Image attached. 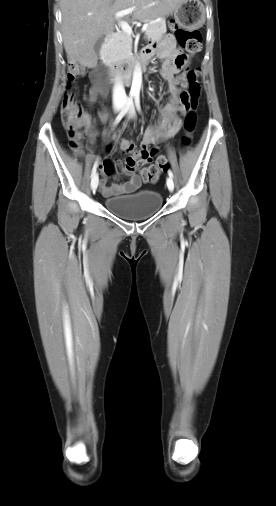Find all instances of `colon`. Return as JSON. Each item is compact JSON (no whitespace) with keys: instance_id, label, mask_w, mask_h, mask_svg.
I'll use <instances>...</instances> for the list:
<instances>
[{"instance_id":"1","label":"colon","mask_w":276,"mask_h":506,"mask_svg":"<svg viewBox=\"0 0 276 506\" xmlns=\"http://www.w3.org/2000/svg\"><path fill=\"white\" fill-rule=\"evenodd\" d=\"M169 28L176 34L180 46L186 51L187 55H193L201 49L202 36L199 31H186L179 27L176 20L169 22ZM188 56L184 55L179 63L185 67V71L176 79V84L183 90L178 97L173 99L175 105H180L186 112L184 123L185 135L182 137V145L188 146L191 142V134L194 132L197 123L196 108L201 94L198 81V71H189L187 67ZM82 74V69L75 63H70L68 68V78L73 83L78 76ZM98 77L103 79V72H98ZM85 114L79 104V101L72 88L65 94L61 106V118L63 126L69 138V148L73 154H78L83 143L84 134L82 128L86 126ZM175 121V117H171ZM121 148L128 154L125 161L127 169L139 170L145 183L155 184L160 176L166 170L167 160L165 157H159L155 163L146 166L147 158L155 155L156 148L153 146L134 150L131 142L125 140L121 143Z\"/></svg>"}]
</instances>
